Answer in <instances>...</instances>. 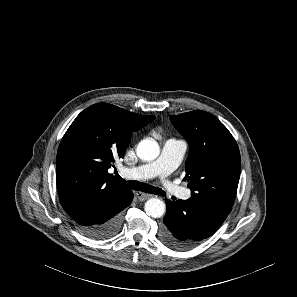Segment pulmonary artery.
I'll return each mask as SVG.
<instances>
[{"instance_id":"pulmonary-artery-1","label":"pulmonary artery","mask_w":297,"mask_h":297,"mask_svg":"<svg viewBox=\"0 0 297 297\" xmlns=\"http://www.w3.org/2000/svg\"><path fill=\"white\" fill-rule=\"evenodd\" d=\"M186 151L187 143L184 140L170 138L164 142L160 156L154 162L134 168H123L121 173L133 179L158 177L165 192L179 199H188L190 197V190L168 179L170 173L181 163Z\"/></svg>"}]
</instances>
